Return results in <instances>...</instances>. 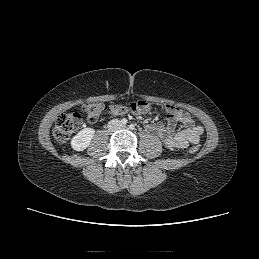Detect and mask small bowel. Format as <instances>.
<instances>
[{"label": "small bowel", "instance_id": "1", "mask_svg": "<svg viewBox=\"0 0 259 259\" xmlns=\"http://www.w3.org/2000/svg\"><path fill=\"white\" fill-rule=\"evenodd\" d=\"M150 108V107H149ZM136 112L145 113L149 110ZM167 115V124L151 123L146 129L158 135L163 143L170 148H186L189 144H197L203 134V127L197 124L186 111L171 105L163 108ZM184 126L182 130H176L177 124Z\"/></svg>", "mask_w": 259, "mask_h": 259}]
</instances>
